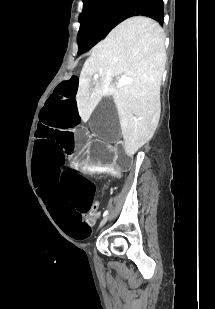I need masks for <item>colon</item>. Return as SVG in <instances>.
Segmentation results:
<instances>
[{
    "label": "colon",
    "instance_id": "1",
    "mask_svg": "<svg viewBox=\"0 0 215 309\" xmlns=\"http://www.w3.org/2000/svg\"><path fill=\"white\" fill-rule=\"evenodd\" d=\"M111 165L113 166V167L111 168V172H112L113 174L117 175V174H118V171H119L118 167H117L114 163H111L110 166H111Z\"/></svg>",
    "mask_w": 215,
    "mask_h": 309
}]
</instances>
